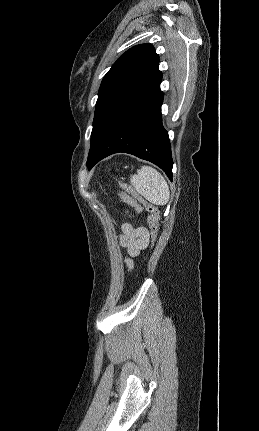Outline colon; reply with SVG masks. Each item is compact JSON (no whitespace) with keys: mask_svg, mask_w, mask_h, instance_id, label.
I'll return each instance as SVG.
<instances>
[{"mask_svg":"<svg viewBox=\"0 0 259 431\" xmlns=\"http://www.w3.org/2000/svg\"><path fill=\"white\" fill-rule=\"evenodd\" d=\"M121 199L127 204L134 207V209H138L136 213L133 214V211H129V214H133V217L138 219L140 218V212H148V225L152 235V244L155 243L158 237L159 232V209L157 206L151 204L142 198L129 184L125 182H121ZM143 206V207H142Z\"/></svg>","mask_w":259,"mask_h":431,"instance_id":"5ec220e1","label":"colon"}]
</instances>
